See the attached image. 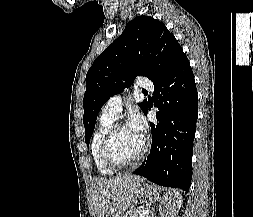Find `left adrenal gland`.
Instances as JSON below:
<instances>
[{"label": "left adrenal gland", "instance_id": "a2214340", "mask_svg": "<svg viewBox=\"0 0 253 217\" xmlns=\"http://www.w3.org/2000/svg\"><path fill=\"white\" fill-rule=\"evenodd\" d=\"M155 200H160L159 196L157 198H155V199H151V202H150V204L148 206L150 208V210H149V213H148L147 217H155V215H154V208L150 207L151 203H154Z\"/></svg>", "mask_w": 253, "mask_h": 217}]
</instances>
